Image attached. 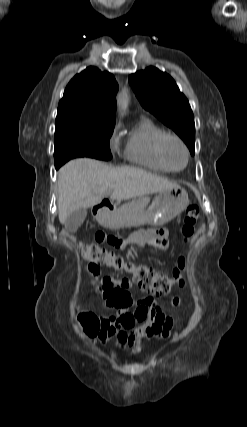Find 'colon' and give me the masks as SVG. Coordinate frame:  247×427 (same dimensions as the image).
Returning <instances> with one entry per match:
<instances>
[{"mask_svg": "<svg viewBox=\"0 0 247 427\" xmlns=\"http://www.w3.org/2000/svg\"><path fill=\"white\" fill-rule=\"evenodd\" d=\"M199 219L200 209L195 204L190 205L187 208L182 227V234L185 240H189L194 235ZM79 249L82 258L93 264L104 265L116 271H125L129 273L142 291L150 292L155 295H163L168 293L172 286H181L184 284L183 270L185 261L183 258L179 259L177 268L173 271L172 275L169 276L155 271L145 264H134L130 261H126L120 255L96 243H81ZM78 319L88 336H104L103 324L95 314L91 312H80Z\"/></svg>", "mask_w": 247, "mask_h": 427, "instance_id": "5ec220e1", "label": "colon"}]
</instances>
